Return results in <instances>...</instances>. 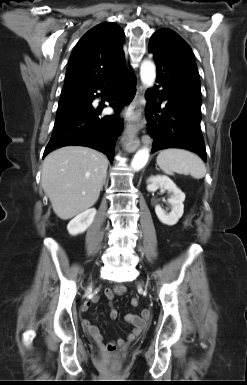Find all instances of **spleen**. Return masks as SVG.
Segmentation results:
<instances>
[{
  "label": "spleen",
  "mask_w": 247,
  "mask_h": 385,
  "mask_svg": "<svg viewBox=\"0 0 247 385\" xmlns=\"http://www.w3.org/2000/svg\"><path fill=\"white\" fill-rule=\"evenodd\" d=\"M157 164L168 175H188L201 179L206 175V166L202 159L193 152L170 148L162 150L157 156Z\"/></svg>",
  "instance_id": "obj_1"
}]
</instances>
